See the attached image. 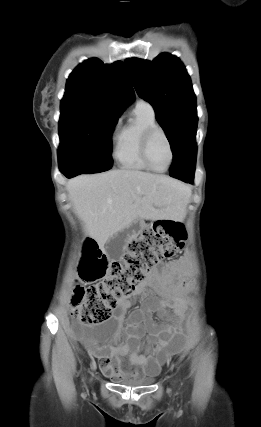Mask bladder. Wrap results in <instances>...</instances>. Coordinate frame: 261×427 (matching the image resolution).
I'll return each instance as SVG.
<instances>
[{
  "label": "bladder",
  "instance_id": "bladder-1",
  "mask_svg": "<svg viewBox=\"0 0 261 427\" xmlns=\"http://www.w3.org/2000/svg\"><path fill=\"white\" fill-rule=\"evenodd\" d=\"M155 381V378L152 376H140L137 378H132V379H128L123 381L124 385L127 386H148L150 384H152Z\"/></svg>",
  "mask_w": 261,
  "mask_h": 427
}]
</instances>
